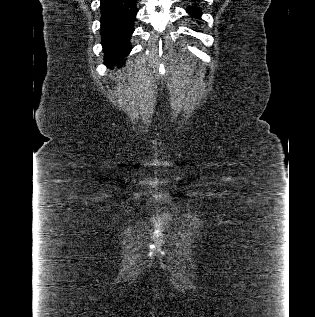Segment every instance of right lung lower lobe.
<instances>
[{
    "mask_svg": "<svg viewBox=\"0 0 315 317\" xmlns=\"http://www.w3.org/2000/svg\"><path fill=\"white\" fill-rule=\"evenodd\" d=\"M137 0H101V36L108 67L122 65L130 53Z\"/></svg>",
    "mask_w": 315,
    "mask_h": 317,
    "instance_id": "right-lung-lower-lobe-1",
    "label": "right lung lower lobe"
}]
</instances>
